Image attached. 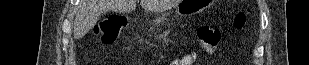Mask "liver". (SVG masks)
<instances>
[{
	"mask_svg": "<svg viewBox=\"0 0 309 65\" xmlns=\"http://www.w3.org/2000/svg\"><path fill=\"white\" fill-rule=\"evenodd\" d=\"M170 0H141V6L154 12L168 9ZM136 8V0H80L74 20V38H83L108 11L129 12Z\"/></svg>",
	"mask_w": 309,
	"mask_h": 65,
	"instance_id": "6515ba94",
	"label": "liver"
}]
</instances>
